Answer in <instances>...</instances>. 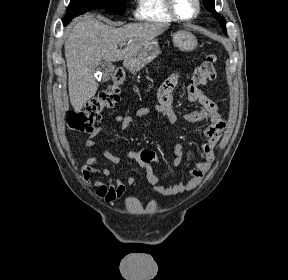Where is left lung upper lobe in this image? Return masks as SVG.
Wrapping results in <instances>:
<instances>
[{
  "label": "left lung upper lobe",
  "mask_w": 288,
  "mask_h": 280,
  "mask_svg": "<svg viewBox=\"0 0 288 280\" xmlns=\"http://www.w3.org/2000/svg\"><path fill=\"white\" fill-rule=\"evenodd\" d=\"M203 5L205 8L214 14V16L218 19L220 26L223 28L224 33L226 34V27L224 19L219 16V14L215 11L214 0H203Z\"/></svg>",
  "instance_id": "1"
}]
</instances>
